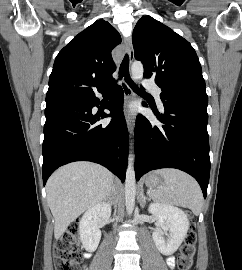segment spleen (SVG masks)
Instances as JSON below:
<instances>
[{
    "label": "spleen",
    "instance_id": "3e777b00",
    "mask_svg": "<svg viewBox=\"0 0 242 270\" xmlns=\"http://www.w3.org/2000/svg\"><path fill=\"white\" fill-rule=\"evenodd\" d=\"M157 173L164 183L152 192L156 202L186 207L195 215L200 213L203 195L195 179L177 169H161Z\"/></svg>",
    "mask_w": 242,
    "mask_h": 270
}]
</instances>
